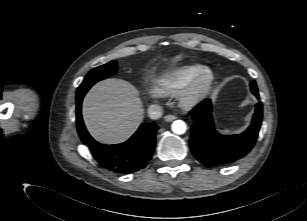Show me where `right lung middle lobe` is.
I'll use <instances>...</instances> for the list:
<instances>
[{
    "label": "right lung middle lobe",
    "instance_id": "dd1d6c3e",
    "mask_svg": "<svg viewBox=\"0 0 307 221\" xmlns=\"http://www.w3.org/2000/svg\"><path fill=\"white\" fill-rule=\"evenodd\" d=\"M117 62L115 60L101 65L93 70H91L83 82L77 89V98L84 97L86 92L93 86L96 82L108 78L116 73Z\"/></svg>",
    "mask_w": 307,
    "mask_h": 221
}]
</instances>
